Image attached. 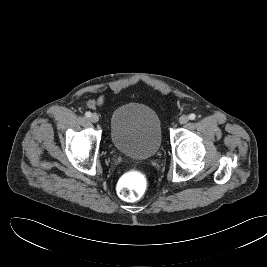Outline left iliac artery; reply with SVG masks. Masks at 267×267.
Returning a JSON list of instances; mask_svg holds the SVG:
<instances>
[{
	"label": "left iliac artery",
	"mask_w": 267,
	"mask_h": 267,
	"mask_svg": "<svg viewBox=\"0 0 267 267\" xmlns=\"http://www.w3.org/2000/svg\"><path fill=\"white\" fill-rule=\"evenodd\" d=\"M196 118V115L194 114V113H191L190 115H189V119L190 120H194Z\"/></svg>",
	"instance_id": "left-iliac-artery-1"
}]
</instances>
